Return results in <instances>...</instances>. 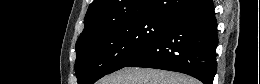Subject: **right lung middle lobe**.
I'll use <instances>...</instances> for the list:
<instances>
[{"mask_svg": "<svg viewBox=\"0 0 260 84\" xmlns=\"http://www.w3.org/2000/svg\"><path fill=\"white\" fill-rule=\"evenodd\" d=\"M171 18L142 16L116 23L103 33L76 46L78 84H93L143 54L159 37Z\"/></svg>", "mask_w": 260, "mask_h": 84, "instance_id": "right-lung-middle-lobe-1", "label": "right lung middle lobe"}]
</instances>
